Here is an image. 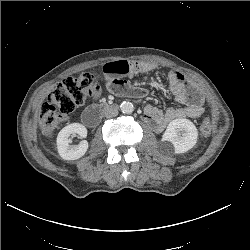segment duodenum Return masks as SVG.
Returning <instances> with one entry per match:
<instances>
[{
    "label": "duodenum",
    "mask_w": 250,
    "mask_h": 250,
    "mask_svg": "<svg viewBox=\"0 0 250 250\" xmlns=\"http://www.w3.org/2000/svg\"><path fill=\"white\" fill-rule=\"evenodd\" d=\"M111 108L113 105L105 102L94 104L83 111L82 120L84 124L94 126L99 122L102 114Z\"/></svg>",
    "instance_id": "1"
}]
</instances>
